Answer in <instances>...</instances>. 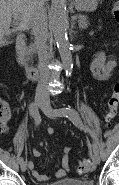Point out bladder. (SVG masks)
<instances>
[{
    "label": "bladder",
    "instance_id": "bladder-1",
    "mask_svg": "<svg viewBox=\"0 0 119 185\" xmlns=\"http://www.w3.org/2000/svg\"><path fill=\"white\" fill-rule=\"evenodd\" d=\"M47 185H94L92 180L67 178Z\"/></svg>",
    "mask_w": 119,
    "mask_h": 185
}]
</instances>
